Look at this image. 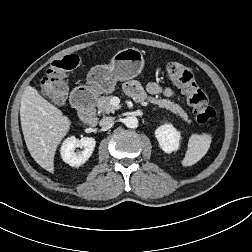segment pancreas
I'll list each match as a JSON object with an SVG mask.
<instances>
[{
  "mask_svg": "<svg viewBox=\"0 0 252 252\" xmlns=\"http://www.w3.org/2000/svg\"><path fill=\"white\" fill-rule=\"evenodd\" d=\"M111 98L112 96H101L97 99L96 106L98 108L99 113H113L115 110H117L119 107H115L111 104ZM148 102L158 105L160 108H165L169 110L170 112L176 114L180 118H182L186 123H189V117L184 112V110L177 104H175L173 101L169 99H162V98H155V97H148Z\"/></svg>",
  "mask_w": 252,
  "mask_h": 252,
  "instance_id": "cf45deb5",
  "label": "pancreas"
}]
</instances>
